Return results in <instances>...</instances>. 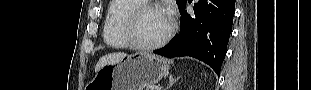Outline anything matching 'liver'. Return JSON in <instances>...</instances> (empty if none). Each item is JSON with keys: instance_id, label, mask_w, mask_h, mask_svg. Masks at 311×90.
Listing matches in <instances>:
<instances>
[{"instance_id": "liver-1", "label": "liver", "mask_w": 311, "mask_h": 90, "mask_svg": "<svg viewBox=\"0 0 311 90\" xmlns=\"http://www.w3.org/2000/svg\"><path fill=\"white\" fill-rule=\"evenodd\" d=\"M126 56L127 55L123 52H117V53H110L101 57L95 66V72L97 73L102 67L106 65H112L119 62Z\"/></svg>"}]
</instances>
